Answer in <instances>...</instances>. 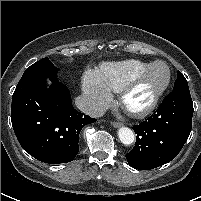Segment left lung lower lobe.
<instances>
[{
    "label": "left lung lower lobe",
    "instance_id": "1",
    "mask_svg": "<svg viewBox=\"0 0 201 201\" xmlns=\"http://www.w3.org/2000/svg\"><path fill=\"white\" fill-rule=\"evenodd\" d=\"M193 111L189 88L169 93L152 116L133 126L137 137L126 155L129 165L149 170L173 160L190 135Z\"/></svg>",
    "mask_w": 201,
    "mask_h": 201
}]
</instances>
